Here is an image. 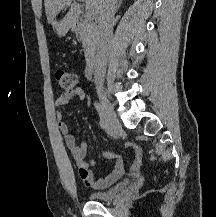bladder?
Returning <instances> with one entry per match:
<instances>
[{"mask_svg":"<svg viewBox=\"0 0 216 217\" xmlns=\"http://www.w3.org/2000/svg\"><path fill=\"white\" fill-rule=\"evenodd\" d=\"M123 189L124 184L120 183L107 191H91L87 197L90 201L107 202L114 199Z\"/></svg>","mask_w":216,"mask_h":217,"instance_id":"bladder-1","label":"bladder"}]
</instances>
